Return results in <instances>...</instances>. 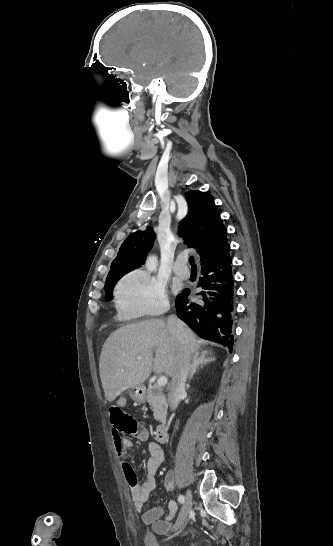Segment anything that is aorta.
Wrapping results in <instances>:
<instances>
[{
  "mask_svg": "<svg viewBox=\"0 0 333 546\" xmlns=\"http://www.w3.org/2000/svg\"><path fill=\"white\" fill-rule=\"evenodd\" d=\"M158 261L157 257L154 255H150L146 260V269L148 272H154L157 269Z\"/></svg>",
  "mask_w": 333,
  "mask_h": 546,
  "instance_id": "762f6f07",
  "label": "aorta"
}]
</instances>
